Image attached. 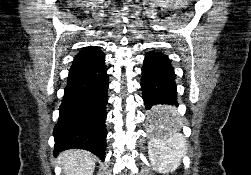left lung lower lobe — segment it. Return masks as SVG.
I'll use <instances>...</instances> for the list:
<instances>
[{
    "instance_id": "left-lung-lower-lobe-1",
    "label": "left lung lower lobe",
    "mask_w": 251,
    "mask_h": 175,
    "mask_svg": "<svg viewBox=\"0 0 251 175\" xmlns=\"http://www.w3.org/2000/svg\"><path fill=\"white\" fill-rule=\"evenodd\" d=\"M141 88L149 122L160 123L174 117L177 106L175 73L168 56L149 52L142 67Z\"/></svg>"
}]
</instances>
